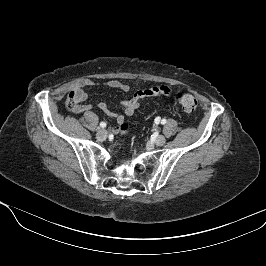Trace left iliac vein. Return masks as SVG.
Instances as JSON below:
<instances>
[{"mask_svg":"<svg viewBox=\"0 0 266 266\" xmlns=\"http://www.w3.org/2000/svg\"><path fill=\"white\" fill-rule=\"evenodd\" d=\"M165 142H166V139H165V137L162 136V135H159V136H157V137L155 138V144L158 145V146H162V145H164Z\"/></svg>","mask_w":266,"mask_h":266,"instance_id":"4c4485c4","label":"left iliac vein"}]
</instances>
